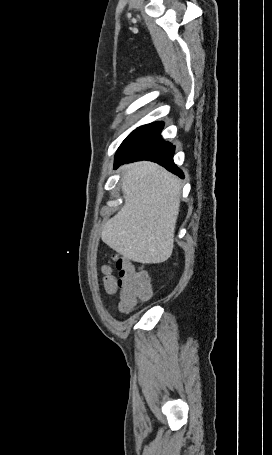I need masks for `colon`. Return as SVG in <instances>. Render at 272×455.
Listing matches in <instances>:
<instances>
[{
    "label": "colon",
    "instance_id": "obj_1",
    "mask_svg": "<svg viewBox=\"0 0 272 455\" xmlns=\"http://www.w3.org/2000/svg\"><path fill=\"white\" fill-rule=\"evenodd\" d=\"M114 265L118 270V277L112 275L111 265L103 267L104 288L107 293L120 290L119 310L129 312L139 303L147 301L152 296V289L147 273L133 262L117 257Z\"/></svg>",
    "mask_w": 272,
    "mask_h": 455
}]
</instances>
